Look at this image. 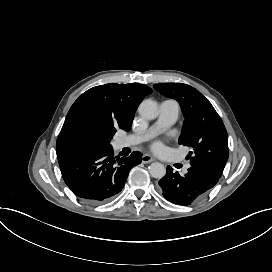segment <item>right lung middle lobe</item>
<instances>
[{"instance_id":"dd1d6c3e","label":"right lung middle lobe","mask_w":272,"mask_h":272,"mask_svg":"<svg viewBox=\"0 0 272 272\" xmlns=\"http://www.w3.org/2000/svg\"><path fill=\"white\" fill-rule=\"evenodd\" d=\"M107 147H108V148H110V147H111V145H107Z\"/></svg>"}]
</instances>
